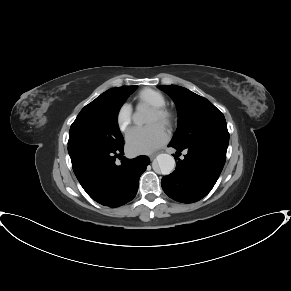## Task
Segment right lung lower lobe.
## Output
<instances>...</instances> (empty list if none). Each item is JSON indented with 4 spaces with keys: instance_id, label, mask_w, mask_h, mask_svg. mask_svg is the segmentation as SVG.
Wrapping results in <instances>:
<instances>
[{
    "instance_id": "obj_1",
    "label": "right lung lower lobe",
    "mask_w": 291,
    "mask_h": 291,
    "mask_svg": "<svg viewBox=\"0 0 291 291\" xmlns=\"http://www.w3.org/2000/svg\"><path fill=\"white\" fill-rule=\"evenodd\" d=\"M124 144L116 148L77 144L68 146L73 171L87 194L98 203L115 208L131 201L139 178L150 160L123 157ZM121 159V165L115 163Z\"/></svg>"
}]
</instances>
